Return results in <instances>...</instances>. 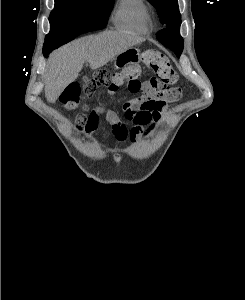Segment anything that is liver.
<instances>
[{"label":"liver","mask_w":245,"mask_h":300,"mask_svg":"<svg viewBox=\"0 0 245 300\" xmlns=\"http://www.w3.org/2000/svg\"><path fill=\"white\" fill-rule=\"evenodd\" d=\"M141 41L133 34L104 31L59 48L50 55L45 70V96L48 102L54 103L64 89L77 79L85 62L90 64L91 69H97Z\"/></svg>","instance_id":"liver-1"}]
</instances>
